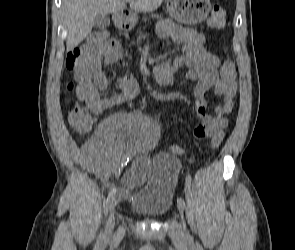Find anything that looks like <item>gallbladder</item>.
<instances>
[{
  "mask_svg": "<svg viewBox=\"0 0 295 250\" xmlns=\"http://www.w3.org/2000/svg\"><path fill=\"white\" fill-rule=\"evenodd\" d=\"M110 19L108 15L99 14L94 19V26L98 29H105L109 26Z\"/></svg>",
  "mask_w": 295,
  "mask_h": 250,
  "instance_id": "bac80fb5",
  "label": "gallbladder"
}]
</instances>
